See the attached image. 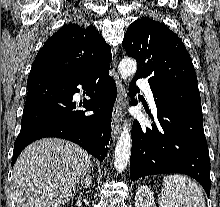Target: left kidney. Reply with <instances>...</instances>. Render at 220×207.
Wrapping results in <instances>:
<instances>
[{
  "label": "left kidney",
  "mask_w": 220,
  "mask_h": 207,
  "mask_svg": "<svg viewBox=\"0 0 220 207\" xmlns=\"http://www.w3.org/2000/svg\"><path fill=\"white\" fill-rule=\"evenodd\" d=\"M154 196L148 186H140L135 194V207H154Z\"/></svg>",
  "instance_id": "1"
}]
</instances>
